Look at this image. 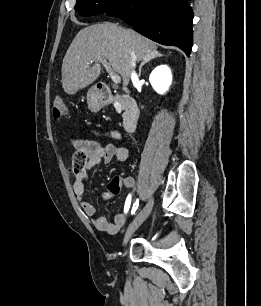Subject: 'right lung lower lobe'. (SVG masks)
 Masks as SVG:
<instances>
[{
  "instance_id": "98d812e1",
  "label": "right lung lower lobe",
  "mask_w": 261,
  "mask_h": 306,
  "mask_svg": "<svg viewBox=\"0 0 261 306\" xmlns=\"http://www.w3.org/2000/svg\"><path fill=\"white\" fill-rule=\"evenodd\" d=\"M106 14L121 18L153 41L177 46L190 55L193 12L189 0H128Z\"/></svg>"
}]
</instances>
